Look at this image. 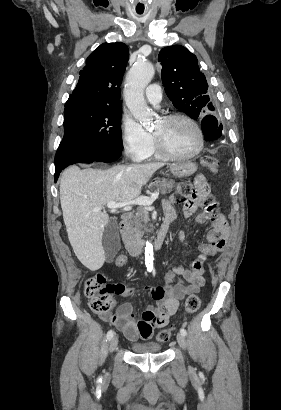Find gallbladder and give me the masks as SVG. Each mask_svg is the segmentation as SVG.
I'll use <instances>...</instances> for the list:
<instances>
[{"instance_id": "obj_1", "label": "gallbladder", "mask_w": 281, "mask_h": 410, "mask_svg": "<svg viewBox=\"0 0 281 410\" xmlns=\"http://www.w3.org/2000/svg\"><path fill=\"white\" fill-rule=\"evenodd\" d=\"M102 246L105 252L106 261L112 262L121 248L119 229L114 220H110L105 227L102 237Z\"/></svg>"}]
</instances>
